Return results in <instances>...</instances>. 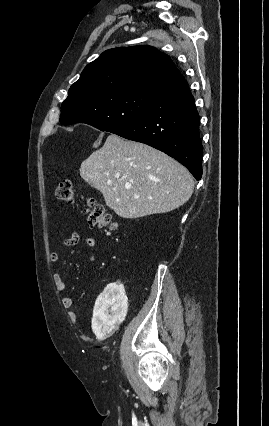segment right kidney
I'll return each instance as SVG.
<instances>
[{
    "mask_svg": "<svg viewBox=\"0 0 269 426\" xmlns=\"http://www.w3.org/2000/svg\"><path fill=\"white\" fill-rule=\"evenodd\" d=\"M127 297L121 281H111L98 297L92 318V330L99 340L107 338L122 321Z\"/></svg>",
    "mask_w": 269,
    "mask_h": 426,
    "instance_id": "1",
    "label": "right kidney"
}]
</instances>
